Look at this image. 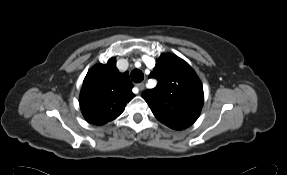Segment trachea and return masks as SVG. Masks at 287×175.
Listing matches in <instances>:
<instances>
[{"label": "trachea", "instance_id": "trachea-1", "mask_svg": "<svg viewBox=\"0 0 287 175\" xmlns=\"http://www.w3.org/2000/svg\"><path fill=\"white\" fill-rule=\"evenodd\" d=\"M131 79L133 82L135 83H140L143 78H144V74L141 70L139 69H134L132 72H131Z\"/></svg>", "mask_w": 287, "mask_h": 175}]
</instances>
